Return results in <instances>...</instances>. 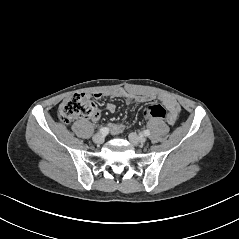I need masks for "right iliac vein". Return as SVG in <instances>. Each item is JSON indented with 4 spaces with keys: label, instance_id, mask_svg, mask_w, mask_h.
<instances>
[{
    "label": "right iliac vein",
    "instance_id": "63e3f726",
    "mask_svg": "<svg viewBox=\"0 0 239 239\" xmlns=\"http://www.w3.org/2000/svg\"><path fill=\"white\" fill-rule=\"evenodd\" d=\"M93 142L96 144H102L104 142V136L101 133H97L93 136Z\"/></svg>",
    "mask_w": 239,
    "mask_h": 239
}]
</instances>
